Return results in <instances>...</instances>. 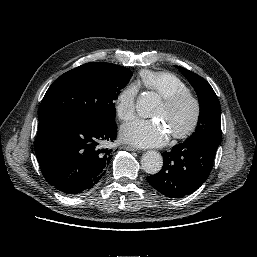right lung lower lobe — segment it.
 I'll return each mask as SVG.
<instances>
[{
    "instance_id": "right-lung-lower-lobe-1",
    "label": "right lung lower lobe",
    "mask_w": 257,
    "mask_h": 257,
    "mask_svg": "<svg viewBox=\"0 0 257 257\" xmlns=\"http://www.w3.org/2000/svg\"><path fill=\"white\" fill-rule=\"evenodd\" d=\"M116 123L61 114L39 120L34 148L45 179L66 194H78L95 186L106 173L116 139Z\"/></svg>"
}]
</instances>
